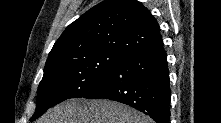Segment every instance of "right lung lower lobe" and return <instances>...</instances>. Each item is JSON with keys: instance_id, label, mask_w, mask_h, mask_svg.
Returning <instances> with one entry per match:
<instances>
[{"instance_id": "obj_1", "label": "right lung lower lobe", "mask_w": 221, "mask_h": 123, "mask_svg": "<svg viewBox=\"0 0 221 123\" xmlns=\"http://www.w3.org/2000/svg\"><path fill=\"white\" fill-rule=\"evenodd\" d=\"M169 82L167 54L161 45L128 54L85 98L118 101L149 115L157 123H169Z\"/></svg>"}]
</instances>
